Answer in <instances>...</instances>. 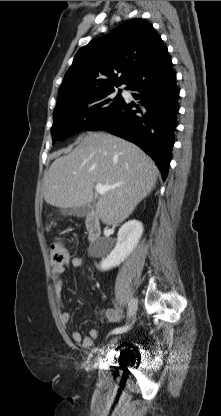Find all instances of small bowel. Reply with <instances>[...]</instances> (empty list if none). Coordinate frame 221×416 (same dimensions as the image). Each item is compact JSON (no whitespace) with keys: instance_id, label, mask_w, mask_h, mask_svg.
<instances>
[{"instance_id":"1","label":"small bowel","mask_w":221,"mask_h":416,"mask_svg":"<svg viewBox=\"0 0 221 416\" xmlns=\"http://www.w3.org/2000/svg\"><path fill=\"white\" fill-rule=\"evenodd\" d=\"M84 259L82 256H73L70 259V263L73 267L79 268L83 265ZM66 271V268L64 265H53L51 272H52V278L54 281V291L55 295L58 301V304L61 308L60 318L63 323H68L70 321V313L64 309V303L62 300V288H63V275ZM101 318L106 322L111 323H118L122 320L123 314L122 312L117 308H107L103 309L99 312ZM100 332L97 328H93L90 330L88 336H82V334L79 331H73L71 333L72 341L80 344L86 349H91L94 346L95 340L99 338Z\"/></svg>"}]
</instances>
